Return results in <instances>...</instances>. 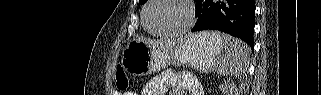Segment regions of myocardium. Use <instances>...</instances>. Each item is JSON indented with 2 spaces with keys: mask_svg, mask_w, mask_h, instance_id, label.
Returning <instances> with one entry per match:
<instances>
[{
  "mask_svg": "<svg viewBox=\"0 0 321 95\" xmlns=\"http://www.w3.org/2000/svg\"><path fill=\"white\" fill-rule=\"evenodd\" d=\"M158 0H149L147 5L145 6L144 10H143V14H142V24L144 29L149 32L150 34L154 35V36H158V37H169V36H178V35H183L185 33H187L190 28L192 27V25L195 22V15H196V11H195V7L194 4L191 0H179L181 1L187 8V13H188V19H187V23L185 24L184 27H182L181 29L178 30H174V31H169V32H156L154 30H152L148 24H147V13L150 9V7L156 3Z\"/></svg>",
  "mask_w": 321,
  "mask_h": 95,
  "instance_id": "myocardium-1",
  "label": "myocardium"
}]
</instances>
